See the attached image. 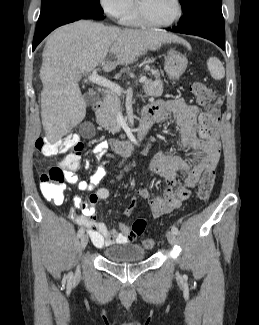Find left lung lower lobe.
Returning <instances> with one entry per match:
<instances>
[{"label":"left lung lower lobe","mask_w":259,"mask_h":325,"mask_svg":"<svg viewBox=\"0 0 259 325\" xmlns=\"http://www.w3.org/2000/svg\"><path fill=\"white\" fill-rule=\"evenodd\" d=\"M167 31L196 35L206 38L225 49V25L222 11L213 8L198 10L185 22L177 27L167 28Z\"/></svg>","instance_id":"0a47b994"}]
</instances>
